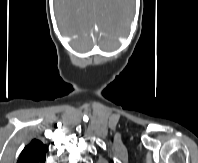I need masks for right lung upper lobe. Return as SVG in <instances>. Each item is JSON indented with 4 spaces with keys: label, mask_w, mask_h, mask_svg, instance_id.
Returning <instances> with one entry per match:
<instances>
[{
    "label": "right lung upper lobe",
    "mask_w": 198,
    "mask_h": 163,
    "mask_svg": "<svg viewBox=\"0 0 198 163\" xmlns=\"http://www.w3.org/2000/svg\"><path fill=\"white\" fill-rule=\"evenodd\" d=\"M48 147L33 139L21 152L17 163H45Z\"/></svg>",
    "instance_id": "right-lung-upper-lobe-1"
}]
</instances>
